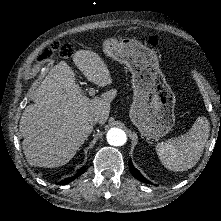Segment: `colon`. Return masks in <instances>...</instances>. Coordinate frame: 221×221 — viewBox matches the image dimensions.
<instances>
[{"label":"colon","instance_id":"1","mask_svg":"<svg viewBox=\"0 0 221 221\" xmlns=\"http://www.w3.org/2000/svg\"><path fill=\"white\" fill-rule=\"evenodd\" d=\"M158 41L156 38L151 37L149 39V45L152 47L157 46ZM74 48L69 43H57L54 42L49 46L44 47L37 55V63H43L51 60L55 55H59L62 58H69L72 56Z\"/></svg>","mask_w":221,"mask_h":221}]
</instances>
